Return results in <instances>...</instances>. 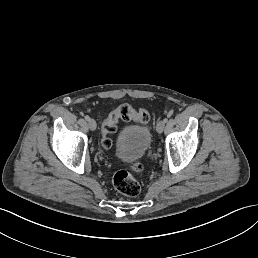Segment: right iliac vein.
I'll list each match as a JSON object with an SVG mask.
<instances>
[{"label":"right iliac vein","mask_w":258,"mask_h":258,"mask_svg":"<svg viewBox=\"0 0 258 258\" xmlns=\"http://www.w3.org/2000/svg\"><path fill=\"white\" fill-rule=\"evenodd\" d=\"M88 125L91 131H96L97 130V122L94 119H89L88 120Z\"/></svg>","instance_id":"right-iliac-vein-1"}]
</instances>
